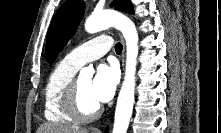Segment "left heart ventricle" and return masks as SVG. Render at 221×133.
<instances>
[{
	"mask_svg": "<svg viewBox=\"0 0 221 133\" xmlns=\"http://www.w3.org/2000/svg\"><path fill=\"white\" fill-rule=\"evenodd\" d=\"M91 85L92 80L90 78L78 79L80 105L86 113L92 112L98 106V103L92 97Z\"/></svg>",
	"mask_w": 221,
	"mask_h": 133,
	"instance_id": "b2bd125f",
	"label": "left heart ventricle"
}]
</instances>
